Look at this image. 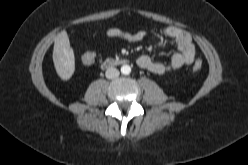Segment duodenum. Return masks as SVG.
<instances>
[{
  "label": "duodenum",
  "mask_w": 248,
  "mask_h": 165,
  "mask_svg": "<svg viewBox=\"0 0 248 165\" xmlns=\"http://www.w3.org/2000/svg\"><path fill=\"white\" fill-rule=\"evenodd\" d=\"M126 61L122 60V59H113V58H109L103 61L102 63V67L107 69V68H112L114 66L120 65V64H124Z\"/></svg>",
  "instance_id": "obj_1"
}]
</instances>
